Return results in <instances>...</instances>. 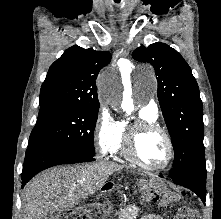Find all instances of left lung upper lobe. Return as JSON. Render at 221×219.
<instances>
[{
  "label": "left lung upper lobe",
  "instance_id": "5c2ea615",
  "mask_svg": "<svg viewBox=\"0 0 221 219\" xmlns=\"http://www.w3.org/2000/svg\"><path fill=\"white\" fill-rule=\"evenodd\" d=\"M132 56L155 69L158 99L175 153L170 177L206 168L203 107L190 67L175 49L161 42L141 46Z\"/></svg>",
  "mask_w": 221,
  "mask_h": 219
}]
</instances>
